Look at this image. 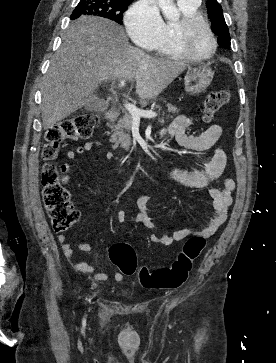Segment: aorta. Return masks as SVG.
Here are the masks:
<instances>
[{
	"instance_id": "aorta-1",
	"label": "aorta",
	"mask_w": 276,
	"mask_h": 363,
	"mask_svg": "<svg viewBox=\"0 0 276 363\" xmlns=\"http://www.w3.org/2000/svg\"><path fill=\"white\" fill-rule=\"evenodd\" d=\"M158 5L164 18L171 21L179 19V11L173 0H158Z\"/></svg>"
}]
</instances>
